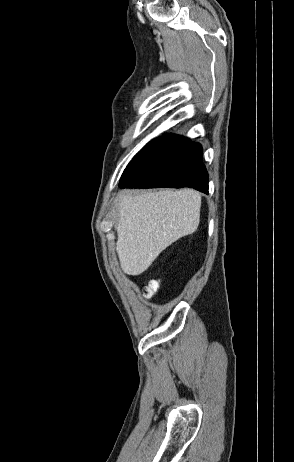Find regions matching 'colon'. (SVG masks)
I'll use <instances>...</instances> for the list:
<instances>
[{"label":"colon","instance_id":"obj_1","mask_svg":"<svg viewBox=\"0 0 294 462\" xmlns=\"http://www.w3.org/2000/svg\"><path fill=\"white\" fill-rule=\"evenodd\" d=\"M160 285L159 279H153L148 282V284L143 289V295L147 298H150L155 295L158 291Z\"/></svg>","mask_w":294,"mask_h":462}]
</instances>
